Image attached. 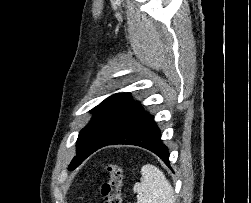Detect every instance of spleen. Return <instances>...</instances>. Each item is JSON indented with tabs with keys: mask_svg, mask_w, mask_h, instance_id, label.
<instances>
[{
	"mask_svg": "<svg viewBox=\"0 0 251 203\" xmlns=\"http://www.w3.org/2000/svg\"><path fill=\"white\" fill-rule=\"evenodd\" d=\"M140 182L135 183L137 203H175L174 191L159 168L147 164L141 169Z\"/></svg>",
	"mask_w": 251,
	"mask_h": 203,
	"instance_id": "3e777b00",
	"label": "spleen"
}]
</instances>
